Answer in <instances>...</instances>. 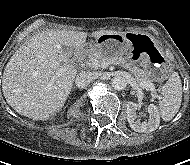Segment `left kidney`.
<instances>
[{"mask_svg":"<svg viewBox=\"0 0 190 165\" xmlns=\"http://www.w3.org/2000/svg\"><path fill=\"white\" fill-rule=\"evenodd\" d=\"M141 107V103L136 104L134 102H128L126 104V113H127V121L130 127L136 131L141 133H150L157 129L160 123V115L158 109L153 104H150L146 107L147 112L149 113V121L140 122V120H136V110Z\"/></svg>","mask_w":190,"mask_h":165,"instance_id":"left-kidney-1","label":"left kidney"}]
</instances>
